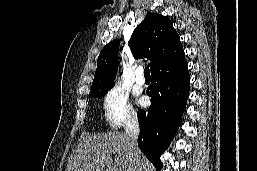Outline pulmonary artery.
I'll return each mask as SVG.
<instances>
[{
    "label": "pulmonary artery",
    "instance_id": "1",
    "mask_svg": "<svg viewBox=\"0 0 257 171\" xmlns=\"http://www.w3.org/2000/svg\"><path fill=\"white\" fill-rule=\"evenodd\" d=\"M135 81L138 85H144L145 84V78L142 73V69L138 68L135 76Z\"/></svg>",
    "mask_w": 257,
    "mask_h": 171
}]
</instances>
